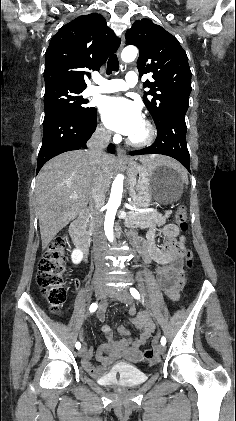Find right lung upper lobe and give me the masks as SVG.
<instances>
[{
	"label": "right lung upper lobe",
	"mask_w": 236,
	"mask_h": 421,
	"mask_svg": "<svg viewBox=\"0 0 236 421\" xmlns=\"http://www.w3.org/2000/svg\"><path fill=\"white\" fill-rule=\"evenodd\" d=\"M120 42L101 14L67 23L52 37L45 53V86L85 89V69L99 70Z\"/></svg>",
	"instance_id": "cb5924a9"
}]
</instances>
